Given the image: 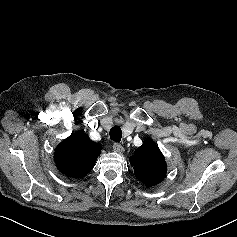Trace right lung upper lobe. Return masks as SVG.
Segmentation results:
<instances>
[{"label": "right lung upper lobe", "instance_id": "cb5924a9", "mask_svg": "<svg viewBox=\"0 0 237 237\" xmlns=\"http://www.w3.org/2000/svg\"><path fill=\"white\" fill-rule=\"evenodd\" d=\"M101 153V146L82 133L76 132L63 140L54 153L57 168L63 174L80 178L88 174Z\"/></svg>", "mask_w": 237, "mask_h": 237}]
</instances>
